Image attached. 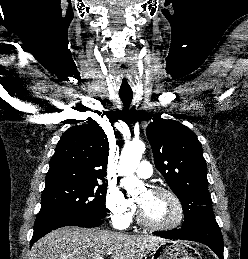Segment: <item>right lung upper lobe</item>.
<instances>
[{
    "mask_svg": "<svg viewBox=\"0 0 248 259\" xmlns=\"http://www.w3.org/2000/svg\"><path fill=\"white\" fill-rule=\"evenodd\" d=\"M109 155V143L103 129L92 121L73 126L60 138L46 184L61 181H104Z\"/></svg>",
    "mask_w": 248,
    "mask_h": 259,
    "instance_id": "obj_1",
    "label": "right lung upper lobe"
}]
</instances>
